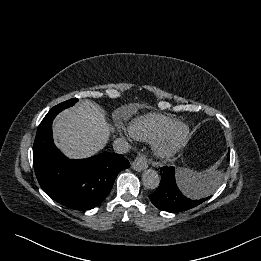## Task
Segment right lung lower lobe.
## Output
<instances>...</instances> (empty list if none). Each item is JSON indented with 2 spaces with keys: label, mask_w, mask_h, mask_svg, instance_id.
<instances>
[{
  "label": "right lung lower lobe",
  "mask_w": 261,
  "mask_h": 261,
  "mask_svg": "<svg viewBox=\"0 0 261 261\" xmlns=\"http://www.w3.org/2000/svg\"><path fill=\"white\" fill-rule=\"evenodd\" d=\"M59 112H48L33 145V165L41 188L52 199L72 209L89 210L109 194L118 173L129 168L121 154L101 153L70 160L54 145L52 122Z\"/></svg>",
  "instance_id": "1"
}]
</instances>
